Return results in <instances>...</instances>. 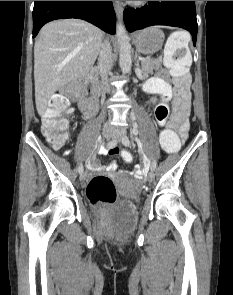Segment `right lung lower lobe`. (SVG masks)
Returning <instances> with one entry per match:
<instances>
[{"label": "right lung lower lobe", "instance_id": "1", "mask_svg": "<svg viewBox=\"0 0 233 295\" xmlns=\"http://www.w3.org/2000/svg\"><path fill=\"white\" fill-rule=\"evenodd\" d=\"M64 18L83 19L115 34L116 16L111 1H35L33 37L47 22Z\"/></svg>", "mask_w": 233, "mask_h": 295}]
</instances>
